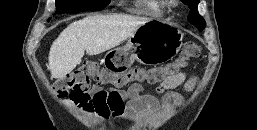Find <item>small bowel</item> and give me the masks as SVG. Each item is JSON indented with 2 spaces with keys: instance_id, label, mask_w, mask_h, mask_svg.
Masks as SVG:
<instances>
[{
  "instance_id": "c3829d8e",
  "label": "small bowel",
  "mask_w": 257,
  "mask_h": 130,
  "mask_svg": "<svg viewBox=\"0 0 257 130\" xmlns=\"http://www.w3.org/2000/svg\"><path fill=\"white\" fill-rule=\"evenodd\" d=\"M195 84V78H188L185 72H179L164 79L157 87V92L163 95L161 101L153 95L143 94V86L135 83L122 91L94 86L86 100L63 98L61 102L69 108H78L101 120L127 116L131 122L145 124L160 105L178 103L182 99L174 91L177 87L183 85L186 91H191Z\"/></svg>"
}]
</instances>
